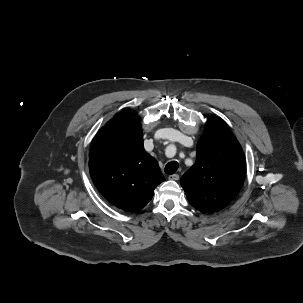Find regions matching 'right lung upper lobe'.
<instances>
[{
    "label": "right lung upper lobe",
    "instance_id": "cb5924a9",
    "mask_svg": "<svg viewBox=\"0 0 303 303\" xmlns=\"http://www.w3.org/2000/svg\"><path fill=\"white\" fill-rule=\"evenodd\" d=\"M128 113L122 111L99 130L90 149L89 170L98 191L111 204L136 212L165 178L144 150L140 122Z\"/></svg>",
    "mask_w": 303,
    "mask_h": 303
}]
</instances>
